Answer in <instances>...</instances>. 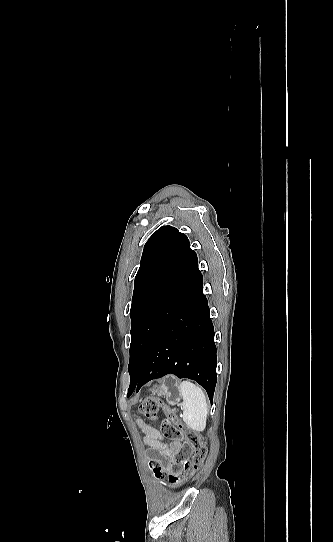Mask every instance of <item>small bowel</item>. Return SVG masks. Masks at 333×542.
Returning <instances> with one entry per match:
<instances>
[{
    "mask_svg": "<svg viewBox=\"0 0 333 542\" xmlns=\"http://www.w3.org/2000/svg\"><path fill=\"white\" fill-rule=\"evenodd\" d=\"M136 424L145 435V445L154 453L152 456L154 462L159 463L165 458L174 459L183 450V444L180 441L165 439L157 428L145 423L143 420L137 419ZM166 481L168 482V480Z\"/></svg>",
    "mask_w": 333,
    "mask_h": 542,
    "instance_id": "1",
    "label": "small bowel"
}]
</instances>
